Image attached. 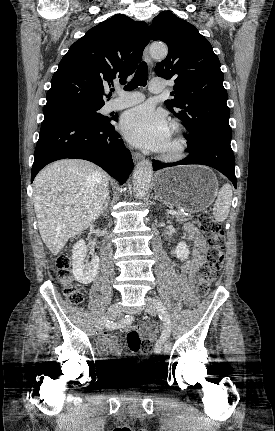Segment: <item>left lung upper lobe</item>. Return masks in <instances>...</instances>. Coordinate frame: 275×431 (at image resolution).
Here are the masks:
<instances>
[{
	"mask_svg": "<svg viewBox=\"0 0 275 431\" xmlns=\"http://www.w3.org/2000/svg\"><path fill=\"white\" fill-rule=\"evenodd\" d=\"M150 36L169 47L168 56L156 65L155 72L159 77L175 79L174 99L165 104L184 122L189 132L187 143L231 140L224 75L209 41L195 26L171 12H161L153 19Z\"/></svg>",
	"mask_w": 275,
	"mask_h": 431,
	"instance_id": "5c2ea615",
	"label": "left lung upper lobe"
}]
</instances>
